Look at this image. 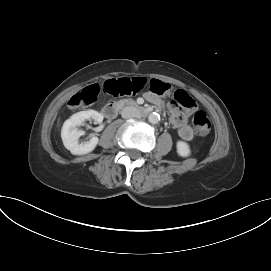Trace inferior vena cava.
<instances>
[{"instance_id": "1", "label": "inferior vena cava", "mask_w": 271, "mask_h": 271, "mask_svg": "<svg viewBox=\"0 0 271 271\" xmlns=\"http://www.w3.org/2000/svg\"><path fill=\"white\" fill-rule=\"evenodd\" d=\"M121 115L123 118H139L141 115L139 111L133 106H126L123 108Z\"/></svg>"}]
</instances>
